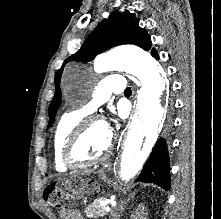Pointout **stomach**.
I'll return each instance as SVG.
<instances>
[{
	"label": "stomach",
	"instance_id": "0dacf381",
	"mask_svg": "<svg viewBox=\"0 0 221 219\" xmlns=\"http://www.w3.org/2000/svg\"><path fill=\"white\" fill-rule=\"evenodd\" d=\"M69 183H82L81 194H90L98 189L94 183H89L84 178H69Z\"/></svg>",
	"mask_w": 221,
	"mask_h": 219
}]
</instances>
